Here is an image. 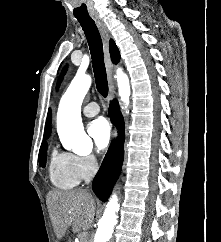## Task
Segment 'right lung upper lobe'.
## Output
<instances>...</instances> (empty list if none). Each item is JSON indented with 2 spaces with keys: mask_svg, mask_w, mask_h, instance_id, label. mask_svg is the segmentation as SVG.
<instances>
[{
  "mask_svg": "<svg viewBox=\"0 0 221 242\" xmlns=\"http://www.w3.org/2000/svg\"><path fill=\"white\" fill-rule=\"evenodd\" d=\"M109 49H110L111 59H112L113 63L117 64L118 61L120 60V53L113 40H110ZM50 134H51V110L49 109L48 115H47L46 126H45L44 137H49Z\"/></svg>",
  "mask_w": 221,
  "mask_h": 242,
  "instance_id": "1",
  "label": "right lung upper lobe"
}]
</instances>
